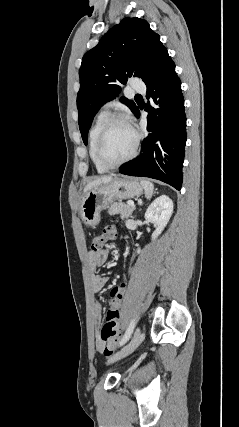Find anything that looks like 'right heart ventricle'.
Masks as SVG:
<instances>
[{"mask_svg":"<svg viewBox=\"0 0 239 427\" xmlns=\"http://www.w3.org/2000/svg\"><path fill=\"white\" fill-rule=\"evenodd\" d=\"M109 119V113L107 111H101L97 114L96 118L94 119V122L92 123L89 132H88V151L91 161L93 162L95 169L98 172H105L107 171V168L103 167L96 159L95 155V147L97 138L99 136L100 131L102 130L103 126Z\"/></svg>","mask_w":239,"mask_h":427,"instance_id":"obj_1","label":"right heart ventricle"}]
</instances>
